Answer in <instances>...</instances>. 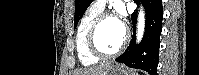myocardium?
I'll use <instances>...</instances> for the list:
<instances>
[{
	"instance_id": "1",
	"label": "myocardium",
	"mask_w": 199,
	"mask_h": 75,
	"mask_svg": "<svg viewBox=\"0 0 199 75\" xmlns=\"http://www.w3.org/2000/svg\"><path fill=\"white\" fill-rule=\"evenodd\" d=\"M109 18H115L114 14L109 12H101L91 23L86 36L87 45L90 52L101 59L110 58L119 54L126 47L129 40V34L125 31L122 43L115 50L106 52L99 47L97 42L99 28L101 24Z\"/></svg>"
}]
</instances>
